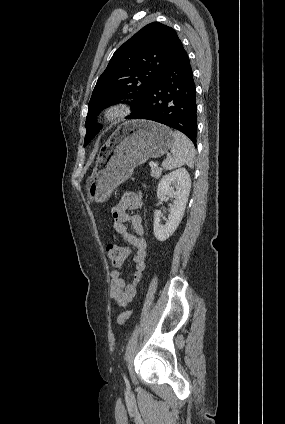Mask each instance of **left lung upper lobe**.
Instances as JSON below:
<instances>
[{
  "label": "left lung upper lobe",
  "mask_w": 285,
  "mask_h": 424,
  "mask_svg": "<svg viewBox=\"0 0 285 424\" xmlns=\"http://www.w3.org/2000/svg\"><path fill=\"white\" fill-rule=\"evenodd\" d=\"M179 42L173 28L153 22L117 49L98 78L89 101L84 146L99 132L96 116L107 105L119 99H133L130 103L133 108L143 101Z\"/></svg>",
  "instance_id": "1"
}]
</instances>
